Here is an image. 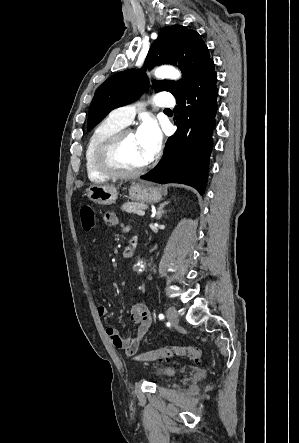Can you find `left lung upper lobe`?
I'll list each match as a JSON object with an SVG mask.
<instances>
[{"mask_svg": "<svg viewBox=\"0 0 299 443\" xmlns=\"http://www.w3.org/2000/svg\"><path fill=\"white\" fill-rule=\"evenodd\" d=\"M208 48L200 35L181 25L165 28L152 43L142 69L118 72L103 82L91 102L87 130L90 131L111 110L136 100L147 87L146 68L170 63L182 71L180 81L153 83L155 91L181 94L210 62Z\"/></svg>", "mask_w": 299, "mask_h": 443, "instance_id": "5c2ea615", "label": "left lung upper lobe"}]
</instances>
